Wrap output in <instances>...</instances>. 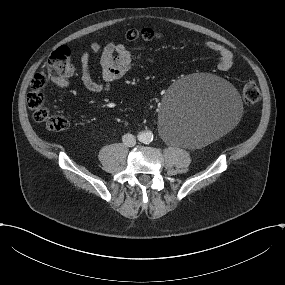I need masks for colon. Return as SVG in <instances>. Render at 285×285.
Segmentation results:
<instances>
[{
  "mask_svg": "<svg viewBox=\"0 0 285 285\" xmlns=\"http://www.w3.org/2000/svg\"><path fill=\"white\" fill-rule=\"evenodd\" d=\"M160 36V33L151 28L130 29L126 33L129 41H148ZM74 74L75 66L72 63L71 52L62 46L52 52L43 71L36 73L31 80V91L27 95L28 106L34 111L35 120L44 122L50 130L63 131L68 128L69 121L63 114L52 113L46 107L42 90L49 80L60 85ZM242 95L246 104L254 105L260 100L261 92L256 83L248 82L243 88Z\"/></svg>",
  "mask_w": 285,
  "mask_h": 285,
  "instance_id": "5ec220e1",
  "label": "colon"
}]
</instances>
